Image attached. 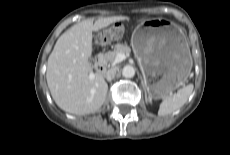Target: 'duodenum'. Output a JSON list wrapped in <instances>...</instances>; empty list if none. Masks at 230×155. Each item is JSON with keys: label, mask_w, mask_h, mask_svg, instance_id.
I'll use <instances>...</instances> for the list:
<instances>
[{"label": "duodenum", "mask_w": 230, "mask_h": 155, "mask_svg": "<svg viewBox=\"0 0 230 155\" xmlns=\"http://www.w3.org/2000/svg\"><path fill=\"white\" fill-rule=\"evenodd\" d=\"M95 69L97 73H104L106 69V64L102 55H97L95 58Z\"/></svg>", "instance_id": "obj_1"}]
</instances>
